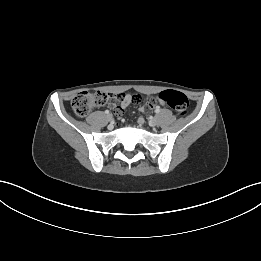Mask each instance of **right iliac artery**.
Returning a JSON list of instances; mask_svg holds the SVG:
<instances>
[{"label":"right iliac artery","instance_id":"obj_1","mask_svg":"<svg viewBox=\"0 0 261 261\" xmlns=\"http://www.w3.org/2000/svg\"><path fill=\"white\" fill-rule=\"evenodd\" d=\"M105 113H106V114H109V110H105Z\"/></svg>","mask_w":261,"mask_h":261}]
</instances>
